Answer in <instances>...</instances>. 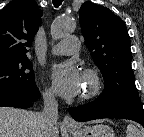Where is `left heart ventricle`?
<instances>
[{
	"label": "left heart ventricle",
	"instance_id": "obj_1",
	"mask_svg": "<svg viewBox=\"0 0 144 137\" xmlns=\"http://www.w3.org/2000/svg\"><path fill=\"white\" fill-rule=\"evenodd\" d=\"M88 87V81L83 77L82 91Z\"/></svg>",
	"mask_w": 144,
	"mask_h": 137
}]
</instances>
